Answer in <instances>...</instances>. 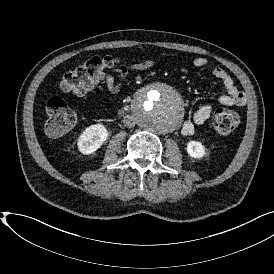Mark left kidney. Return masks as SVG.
I'll list each match as a JSON object with an SVG mask.
<instances>
[{
    "instance_id": "1",
    "label": "left kidney",
    "mask_w": 274,
    "mask_h": 274,
    "mask_svg": "<svg viewBox=\"0 0 274 274\" xmlns=\"http://www.w3.org/2000/svg\"><path fill=\"white\" fill-rule=\"evenodd\" d=\"M187 152L193 157L200 159L206 155L205 147L197 141H190L187 143Z\"/></svg>"
}]
</instances>
